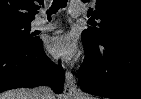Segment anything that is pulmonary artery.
<instances>
[{
	"mask_svg": "<svg viewBox=\"0 0 141 99\" xmlns=\"http://www.w3.org/2000/svg\"><path fill=\"white\" fill-rule=\"evenodd\" d=\"M84 12L83 7L78 4L74 3L70 7V14L72 16H78L81 15ZM33 27L36 30H42V31H52L55 28H57V24L54 22H47L46 20V13L43 12L42 15L38 18H36L33 22Z\"/></svg>",
	"mask_w": 141,
	"mask_h": 99,
	"instance_id": "pulmonary-artery-1",
	"label": "pulmonary artery"
}]
</instances>
